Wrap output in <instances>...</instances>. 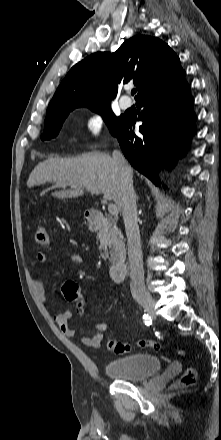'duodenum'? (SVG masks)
<instances>
[{
	"label": "duodenum",
	"mask_w": 221,
	"mask_h": 440,
	"mask_svg": "<svg viewBox=\"0 0 221 440\" xmlns=\"http://www.w3.org/2000/svg\"><path fill=\"white\" fill-rule=\"evenodd\" d=\"M88 223L91 229L108 232L110 223L107 218L98 211H92L87 215ZM127 272L126 263L123 261H114L110 268V275L113 281L121 282L125 279Z\"/></svg>",
	"instance_id": "obj_1"
}]
</instances>
